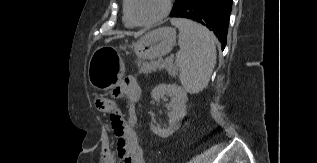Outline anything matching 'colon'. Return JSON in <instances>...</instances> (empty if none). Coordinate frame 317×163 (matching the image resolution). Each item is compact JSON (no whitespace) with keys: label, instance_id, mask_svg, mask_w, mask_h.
<instances>
[{"label":"colon","instance_id":"1","mask_svg":"<svg viewBox=\"0 0 317 163\" xmlns=\"http://www.w3.org/2000/svg\"><path fill=\"white\" fill-rule=\"evenodd\" d=\"M95 105L100 111L110 112V120L113 129L116 132H121L124 126V122L122 113L116 107V105L104 96H97L95 100Z\"/></svg>","mask_w":317,"mask_h":163}]
</instances>
